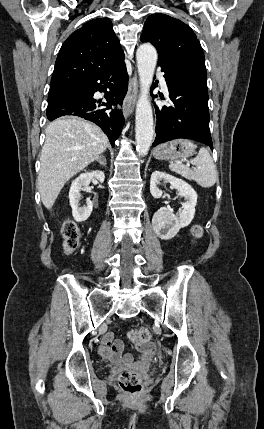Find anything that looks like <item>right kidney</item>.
Here are the masks:
<instances>
[{
	"label": "right kidney",
	"mask_w": 264,
	"mask_h": 429,
	"mask_svg": "<svg viewBox=\"0 0 264 429\" xmlns=\"http://www.w3.org/2000/svg\"><path fill=\"white\" fill-rule=\"evenodd\" d=\"M93 179H97L99 182L103 183L105 180V174L103 171H92L86 172L78 176L73 180L70 191H69V201L72 208V215L75 221L83 222L87 220L93 210V203L87 199L86 205L79 207V201L81 199V190L86 189Z\"/></svg>",
	"instance_id": "obj_1"
}]
</instances>
